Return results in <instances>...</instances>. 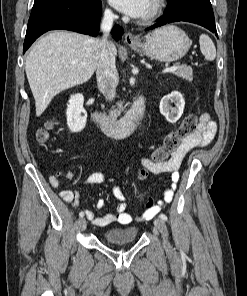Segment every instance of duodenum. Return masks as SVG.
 Masks as SVG:
<instances>
[{"label":"duodenum","mask_w":247,"mask_h":296,"mask_svg":"<svg viewBox=\"0 0 247 296\" xmlns=\"http://www.w3.org/2000/svg\"><path fill=\"white\" fill-rule=\"evenodd\" d=\"M145 108L146 98L140 96L134 103L131 111L120 119H113L98 110H93L91 116L106 133L116 138H124L132 135L139 128Z\"/></svg>","instance_id":"obj_1"}]
</instances>
